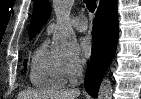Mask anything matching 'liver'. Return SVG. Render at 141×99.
<instances>
[{
	"instance_id": "1",
	"label": "liver",
	"mask_w": 141,
	"mask_h": 99,
	"mask_svg": "<svg viewBox=\"0 0 141 99\" xmlns=\"http://www.w3.org/2000/svg\"><path fill=\"white\" fill-rule=\"evenodd\" d=\"M80 95L78 89L60 91L27 90L18 95V99H77Z\"/></svg>"
}]
</instances>
